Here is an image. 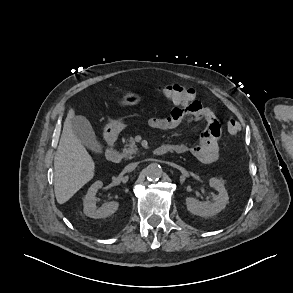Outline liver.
Returning a JSON list of instances; mask_svg holds the SVG:
<instances>
[{"label": "liver", "mask_w": 293, "mask_h": 293, "mask_svg": "<svg viewBox=\"0 0 293 293\" xmlns=\"http://www.w3.org/2000/svg\"><path fill=\"white\" fill-rule=\"evenodd\" d=\"M71 109L64 122L62 135L54 157V191L59 204L67 202L95 174V163L75 136Z\"/></svg>", "instance_id": "1"}]
</instances>
